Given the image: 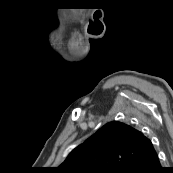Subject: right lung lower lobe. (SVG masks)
Returning a JSON list of instances; mask_svg holds the SVG:
<instances>
[{
	"label": "right lung lower lobe",
	"instance_id": "obj_1",
	"mask_svg": "<svg viewBox=\"0 0 173 173\" xmlns=\"http://www.w3.org/2000/svg\"><path fill=\"white\" fill-rule=\"evenodd\" d=\"M123 173H163L157 152L134 161Z\"/></svg>",
	"mask_w": 173,
	"mask_h": 173
}]
</instances>
